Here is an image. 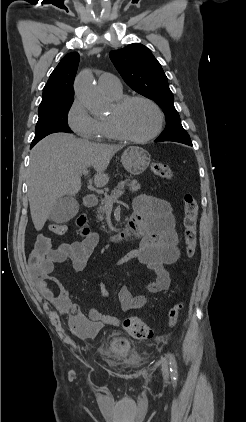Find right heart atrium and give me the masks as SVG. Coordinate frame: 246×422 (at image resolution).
Here are the masks:
<instances>
[{"mask_svg":"<svg viewBox=\"0 0 246 422\" xmlns=\"http://www.w3.org/2000/svg\"><path fill=\"white\" fill-rule=\"evenodd\" d=\"M67 119L70 128L81 138L89 141L103 138L101 121L93 117L79 99L72 102Z\"/></svg>","mask_w":246,"mask_h":422,"instance_id":"1","label":"right heart atrium"}]
</instances>
